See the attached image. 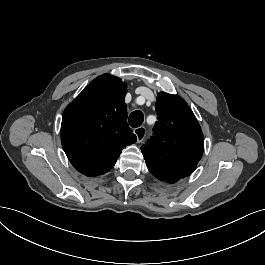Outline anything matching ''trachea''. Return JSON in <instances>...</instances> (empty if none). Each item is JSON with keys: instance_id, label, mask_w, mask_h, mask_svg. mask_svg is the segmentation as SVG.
Here are the masks:
<instances>
[{"instance_id": "1", "label": "trachea", "mask_w": 265, "mask_h": 265, "mask_svg": "<svg viewBox=\"0 0 265 265\" xmlns=\"http://www.w3.org/2000/svg\"><path fill=\"white\" fill-rule=\"evenodd\" d=\"M143 121H144V115L141 111L132 112L128 118V122H129L130 126L133 128H137V127L141 126Z\"/></svg>"}]
</instances>
